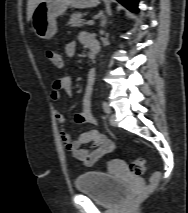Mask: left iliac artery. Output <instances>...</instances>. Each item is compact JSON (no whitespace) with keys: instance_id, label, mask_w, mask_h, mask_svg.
<instances>
[{"instance_id":"left-iliac-artery-1","label":"left iliac artery","mask_w":188,"mask_h":213,"mask_svg":"<svg viewBox=\"0 0 188 213\" xmlns=\"http://www.w3.org/2000/svg\"><path fill=\"white\" fill-rule=\"evenodd\" d=\"M102 105H103L104 111H105L107 114H110L111 109H110V106L108 105V103L104 101Z\"/></svg>"}]
</instances>
